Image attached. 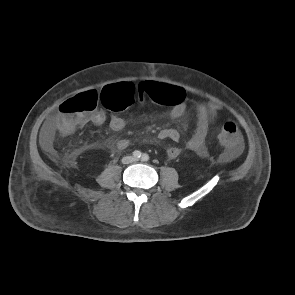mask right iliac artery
Here are the masks:
<instances>
[{
    "mask_svg": "<svg viewBox=\"0 0 295 295\" xmlns=\"http://www.w3.org/2000/svg\"><path fill=\"white\" fill-rule=\"evenodd\" d=\"M133 156H134V158L139 159L141 157V152L136 150L133 152Z\"/></svg>",
    "mask_w": 295,
    "mask_h": 295,
    "instance_id": "1",
    "label": "right iliac artery"
}]
</instances>
